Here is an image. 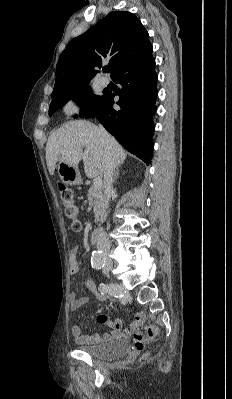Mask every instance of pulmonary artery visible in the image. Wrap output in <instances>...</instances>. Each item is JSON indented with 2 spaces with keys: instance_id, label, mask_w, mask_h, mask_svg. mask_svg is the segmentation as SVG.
Segmentation results:
<instances>
[{
  "instance_id": "pulmonary-artery-1",
  "label": "pulmonary artery",
  "mask_w": 232,
  "mask_h": 399,
  "mask_svg": "<svg viewBox=\"0 0 232 399\" xmlns=\"http://www.w3.org/2000/svg\"><path fill=\"white\" fill-rule=\"evenodd\" d=\"M98 83L100 86L106 87L110 83V80L108 77H106V75L102 74L98 80Z\"/></svg>"
}]
</instances>
